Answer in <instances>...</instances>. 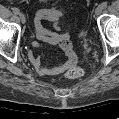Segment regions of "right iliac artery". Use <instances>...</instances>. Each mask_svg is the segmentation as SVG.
Returning <instances> with one entry per match:
<instances>
[{"instance_id":"right-iliac-artery-1","label":"right iliac artery","mask_w":119,"mask_h":119,"mask_svg":"<svg viewBox=\"0 0 119 119\" xmlns=\"http://www.w3.org/2000/svg\"><path fill=\"white\" fill-rule=\"evenodd\" d=\"M13 13L18 15L19 14V9L18 8H13Z\"/></svg>"}]
</instances>
